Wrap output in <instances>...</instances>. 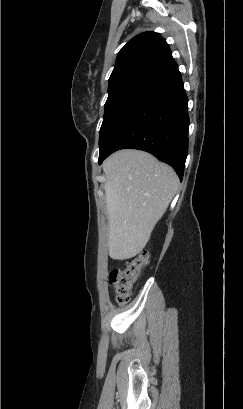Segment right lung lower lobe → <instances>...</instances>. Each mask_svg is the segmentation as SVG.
I'll use <instances>...</instances> for the list:
<instances>
[{
    "label": "right lung lower lobe",
    "mask_w": 243,
    "mask_h": 409,
    "mask_svg": "<svg viewBox=\"0 0 243 409\" xmlns=\"http://www.w3.org/2000/svg\"><path fill=\"white\" fill-rule=\"evenodd\" d=\"M188 127V99L176 68L119 125L100 152L99 164L119 149H139L172 166L182 180Z\"/></svg>",
    "instance_id": "obj_1"
}]
</instances>
